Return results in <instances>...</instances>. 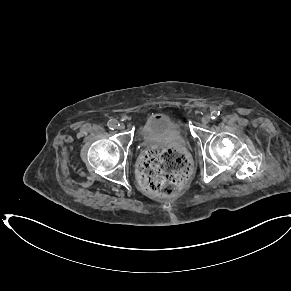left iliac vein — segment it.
<instances>
[{"label": "left iliac vein", "mask_w": 291, "mask_h": 291, "mask_svg": "<svg viewBox=\"0 0 291 291\" xmlns=\"http://www.w3.org/2000/svg\"><path fill=\"white\" fill-rule=\"evenodd\" d=\"M210 120H211L210 116L209 115H205V116L202 117L201 122L206 125V124H208L210 122Z\"/></svg>", "instance_id": "obj_1"}]
</instances>
